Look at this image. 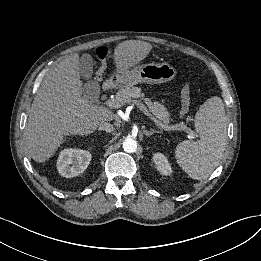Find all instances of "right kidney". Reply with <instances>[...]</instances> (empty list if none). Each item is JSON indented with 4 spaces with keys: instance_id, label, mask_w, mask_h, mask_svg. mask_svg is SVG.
<instances>
[{
    "instance_id": "ca27d5eb",
    "label": "right kidney",
    "mask_w": 261,
    "mask_h": 261,
    "mask_svg": "<svg viewBox=\"0 0 261 261\" xmlns=\"http://www.w3.org/2000/svg\"><path fill=\"white\" fill-rule=\"evenodd\" d=\"M91 161L87 150L67 148L60 152L57 160L58 172L66 178H72L85 171Z\"/></svg>"
}]
</instances>
